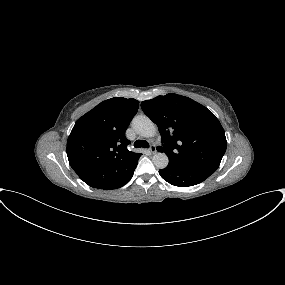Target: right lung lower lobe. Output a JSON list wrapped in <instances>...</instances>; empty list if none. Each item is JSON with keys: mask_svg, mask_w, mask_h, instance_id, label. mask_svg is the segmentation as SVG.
<instances>
[{"mask_svg": "<svg viewBox=\"0 0 285 285\" xmlns=\"http://www.w3.org/2000/svg\"><path fill=\"white\" fill-rule=\"evenodd\" d=\"M133 176V175H132ZM131 176V177H132ZM131 177L126 181V182H124V183H122V184H120V185H118V186H116V187H113V188H111V189H116V188H120V187H122L123 185H125L130 179H131Z\"/></svg>", "mask_w": 285, "mask_h": 285, "instance_id": "obj_1", "label": "right lung lower lobe"}]
</instances>
